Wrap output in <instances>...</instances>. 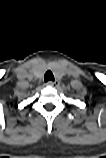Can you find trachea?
<instances>
[{
    "mask_svg": "<svg viewBox=\"0 0 106 158\" xmlns=\"http://www.w3.org/2000/svg\"><path fill=\"white\" fill-rule=\"evenodd\" d=\"M44 81L48 82V81H54V76L53 73L51 71H47L44 75Z\"/></svg>",
    "mask_w": 106,
    "mask_h": 158,
    "instance_id": "obj_1",
    "label": "trachea"
}]
</instances>
